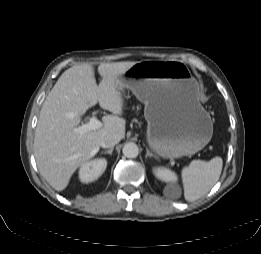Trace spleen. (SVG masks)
I'll list each match as a JSON object with an SVG mask.
<instances>
[{"label": "spleen", "mask_w": 261, "mask_h": 254, "mask_svg": "<svg viewBox=\"0 0 261 254\" xmlns=\"http://www.w3.org/2000/svg\"><path fill=\"white\" fill-rule=\"evenodd\" d=\"M223 161L214 157L210 161L193 160L182 169L184 197L193 202L206 195L216 184L221 175Z\"/></svg>", "instance_id": "obj_1"}]
</instances>
